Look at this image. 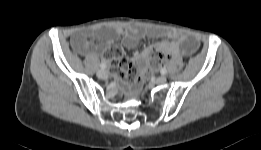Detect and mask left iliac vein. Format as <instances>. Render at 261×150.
I'll return each instance as SVG.
<instances>
[{"label": "left iliac vein", "mask_w": 261, "mask_h": 150, "mask_svg": "<svg viewBox=\"0 0 261 150\" xmlns=\"http://www.w3.org/2000/svg\"><path fill=\"white\" fill-rule=\"evenodd\" d=\"M166 81H167V78L165 76H160V77L156 78V80H155V82L157 84H164V83H166Z\"/></svg>", "instance_id": "1"}]
</instances>
